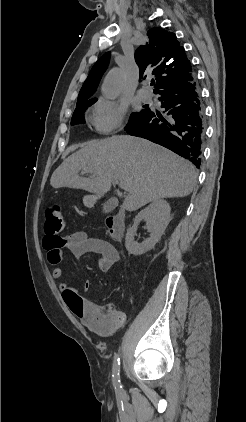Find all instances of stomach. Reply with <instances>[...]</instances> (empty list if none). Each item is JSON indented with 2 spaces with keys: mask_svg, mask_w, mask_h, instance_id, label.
I'll return each instance as SVG.
<instances>
[{
  "mask_svg": "<svg viewBox=\"0 0 246 422\" xmlns=\"http://www.w3.org/2000/svg\"><path fill=\"white\" fill-rule=\"evenodd\" d=\"M83 202L86 206H91L93 204V197L91 196H85L83 198Z\"/></svg>",
  "mask_w": 246,
  "mask_h": 422,
  "instance_id": "1",
  "label": "stomach"
}]
</instances>
